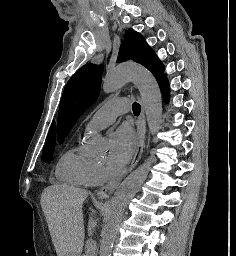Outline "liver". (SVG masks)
Returning <instances> with one entry per match:
<instances>
[{"label": "liver", "mask_w": 236, "mask_h": 256, "mask_svg": "<svg viewBox=\"0 0 236 256\" xmlns=\"http://www.w3.org/2000/svg\"><path fill=\"white\" fill-rule=\"evenodd\" d=\"M87 196V190L64 184L44 190L41 206L57 256H81L85 240L82 204Z\"/></svg>", "instance_id": "6515ba94"}]
</instances>
